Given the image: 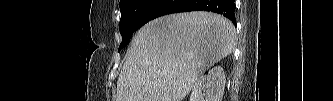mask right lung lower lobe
<instances>
[{"instance_id": "obj_1", "label": "right lung lower lobe", "mask_w": 333, "mask_h": 101, "mask_svg": "<svg viewBox=\"0 0 333 101\" xmlns=\"http://www.w3.org/2000/svg\"><path fill=\"white\" fill-rule=\"evenodd\" d=\"M199 10L222 14L236 25L234 0H153L142 13L137 26L139 29L147 22L167 14Z\"/></svg>"}]
</instances>
